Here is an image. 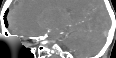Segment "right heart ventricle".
<instances>
[{
    "mask_svg": "<svg viewBox=\"0 0 116 58\" xmlns=\"http://www.w3.org/2000/svg\"><path fill=\"white\" fill-rule=\"evenodd\" d=\"M25 6H32V3H26Z\"/></svg>",
    "mask_w": 116,
    "mask_h": 58,
    "instance_id": "e07e8e85",
    "label": "right heart ventricle"
}]
</instances>
